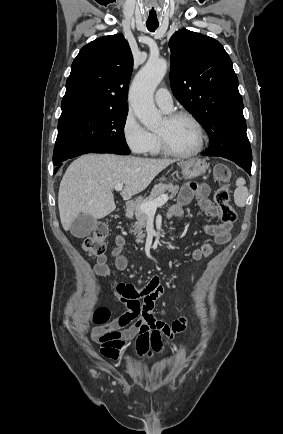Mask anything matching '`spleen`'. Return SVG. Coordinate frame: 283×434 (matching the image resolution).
Returning a JSON list of instances; mask_svg holds the SVG:
<instances>
[{"mask_svg":"<svg viewBox=\"0 0 283 434\" xmlns=\"http://www.w3.org/2000/svg\"><path fill=\"white\" fill-rule=\"evenodd\" d=\"M236 190L234 192V201L238 207H244L248 196V189L245 187V180L238 178L236 181Z\"/></svg>","mask_w":283,"mask_h":434,"instance_id":"obj_1","label":"spleen"}]
</instances>
